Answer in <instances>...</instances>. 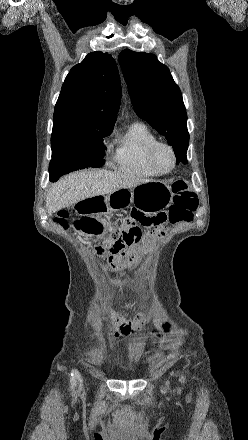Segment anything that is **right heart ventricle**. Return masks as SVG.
Segmentation results:
<instances>
[{"mask_svg":"<svg viewBox=\"0 0 248 440\" xmlns=\"http://www.w3.org/2000/svg\"><path fill=\"white\" fill-rule=\"evenodd\" d=\"M158 141L155 134L143 123H132L127 131L116 140L113 155L117 171L140 178L156 177L147 161V152Z\"/></svg>","mask_w":248,"mask_h":440,"instance_id":"right-heart-ventricle-1","label":"right heart ventricle"}]
</instances>
